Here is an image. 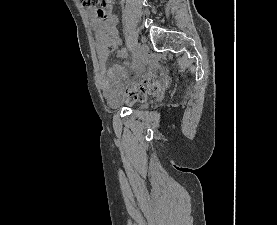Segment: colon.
<instances>
[{"mask_svg":"<svg viewBox=\"0 0 277 225\" xmlns=\"http://www.w3.org/2000/svg\"><path fill=\"white\" fill-rule=\"evenodd\" d=\"M80 3L88 8L93 9L99 17H104L108 12L107 0H80ZM114 40H108L106 49L113 51L116 48ZM159 88V81L155 78H147L143 83L128 88L125 92L126 100L134 103L145 99L148 95L155 93Z\"/></svg>","mask_w":277,"mask_h":225,"instance_id":"obj_1","label":"colon"}]
</instances>
